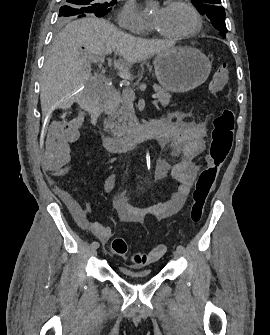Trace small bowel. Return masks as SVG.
<instances>
[{
    "mask_svg": "<svg viewBox=\"0 0 270 335\" xmlns=\"http://www.w3.org/2000/svg\"><path fill=\"white\" fill-rule=\"evenodd\" d=\"M78 120L48 121V133L45 136L46 152L50 158H42V165L47 169H77V162L69 158V151L75 150L74 144H66L77 138ZM161 135L158 145L168 148L170 159L158 158L154 178L161 180L172 177L178 181L176 191L165 201L147 207H135L123 198H118L113 211L120 222L142 224L145 218L164 219L178 212L183 206L194 183L198 166L194 159L205 149V125L182 119L165 118L160 121ZM60 170L59 173H62ZM116 182L114 173L108 175L103 182V190L109 192ZM68 198V196H65ZM76 219L81 228L91 232L100 241L107 242L112 235L111 228L102 222L90 221L86 212L77 211Z\"/></svg>",
    "mask_w": 270,
    "mask_h": 335,
    "instance_id": "1",
    "label": "small bowel"
}]
</instances>
